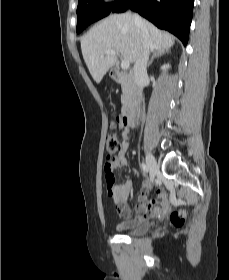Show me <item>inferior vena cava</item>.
<instances>
[{
  "mask_svg": "<svg viewBox=\"0 0 229 280\" xmlns=\"http://www.w3.org/2000/svg\"><path fill=\"white\" fill-rule=\"evenodd\" d=\"M133 16H134L135 24L140 27L142 37H143V49L134 65V79L139 89V95L141 96L142 89L144 85L148 82L147 62L149 59V54H150V49L152 44L149 38V31L144 21L138 15H133Z\"/></svg>",
  "mask_w": 229,
  "mask_h": 280,
  "instance_id": "inferior-vena-cava-1",
  "label": "inferior vena cava"
}]
</instances>
